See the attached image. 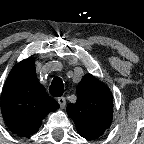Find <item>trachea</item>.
Returning a JSON list of instances; mask_svg holds the SVG:
<instances>
[{"instance_id":"3493384b","label":"trachea","mask_w":144,"mask_h":144,"mask_svg":"<svg viewBox=\"0 0 144 144\" xmlns=\"http://www.w3.org/2000/svg\"><path fill=\"white\" fill-rule=\"evenodd\" d=\"M49 92L54 97H60L64 93V84L61 78L55 77L49 87Z\"/></svg>"}]
</instances>
